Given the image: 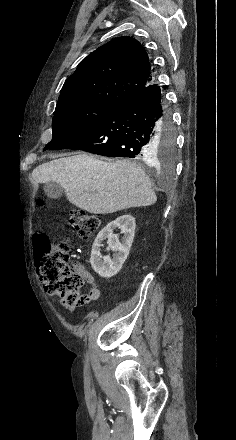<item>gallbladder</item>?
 <instances>
[{
	"label": "gallbladder",
	"instance_id": "gallbladder-1",
	"mask_svg": "<svg viewBox=\"0 0 236 440\" xmlns=\"http://www.w3.org/2000/svg\"><path fill=\"white\" fill-rule=\"evenodd\" d=\"M44 192L51 199H59L64 195L63 187L53 181L44 184Z\"/></svg>",
	"mask_w": 236,
	"mask_h": 440
}]
</instances>
